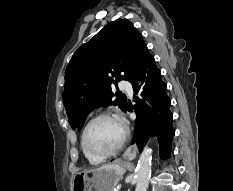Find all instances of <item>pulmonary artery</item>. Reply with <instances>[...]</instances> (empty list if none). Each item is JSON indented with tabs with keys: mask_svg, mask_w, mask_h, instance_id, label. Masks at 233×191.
<instances>
[{
	"mask_svg": "<svg viewBox=\"0 0 233 191\" xmlns=\"http://www.w3.org/2000/svg\"><path fill=\"white\" fill-rule=\"evenodd\" d=\"M120 87L123 89V90H126L129 94L132 93V86L129 82L127 81H121L120 82Z\"/></svg>",
	"mask_w": 233,
	"mask_h": 191,
	"instance_id": "e3ab8cb5",
	"label": "pulmonary artery"
}]
</instances>
